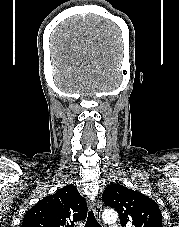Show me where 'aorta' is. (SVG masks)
<instances>
[{
  "instance_id": "obj_1",
  "label": "aorta",
  "mask_w": 179,
  "mask_h": 227,
  "mask_svg": "<svg viewBox=\"0 0 179 227\" xmlns=\"http://www.w3.org/2000/svg\"><path fill=\"white\" fill-rule=\"evenodd\" d=\"M102 219L107 223H112V222L117 221L118 214L116 211H114L112 209H107L103 212Z\"/></svg>"
}]
</instances>
